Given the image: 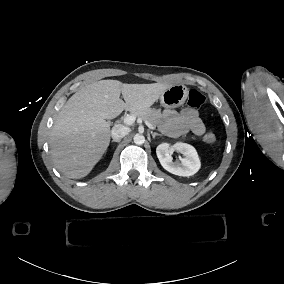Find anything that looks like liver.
<instances>
[{"label": "liver", "mask_w": 284, "mask_h": 284, "mask_svg": "<svg viewBox=\"0 0 284 284\" xmlns=\"http://www.w3.org/2000/svg\"><path fill=\"white\" fill-rule=\"evenodd\" d=\"M170 84H123L100 80L86 85L65 103L50 134L51 156L57 169L72 179L85 177L110 142V124L123 110L148 108ZM124 101L120 99V94Z\"/></svg>", "instance_id": "1"}]
</instances>
